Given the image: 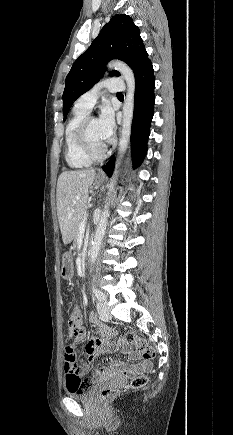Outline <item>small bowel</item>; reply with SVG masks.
Here are the masks:
<instances>
[{"label": "small bowel", "instance_id": "c3829d8e", "mask_svg": "<svg viewBox=\"0 0 233 435\" xmlns=\"http://www.w3.org/2000/svg\"><path fill=\"white\" fill-rule=\"evenodd\" d=\"M78 315H80V311L76 308ZM89 322L97 327L96 336L91 337L87 340L85 345V351L88 355L86 361L81 364L80 368H73L69 364H65V382L66 386H68V378L71 375H80L82 374L88 366L92 363V361L96 358V356L103 351H112L119 349L123 355L129 356L133 361L137 362L135 366V370L139 371L145 368V365L141 362V358L139 355L132 351V349L125 345H110L109 347L105 346L106 340L108 338V328L99 320L96 314L90 313ZM76 342H83L86 339V331L84 328H81L80 331L75 335ZM123 365L113 360L109 366L99 367L94 370L93 377L90 380H94L100 376H104L108 372H118L122 370Z\"/></svg>", "mask_w": 233, "mask_h": 435}]
</instances>
